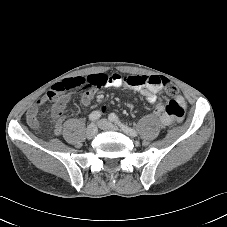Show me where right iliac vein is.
<instances>
[{
	"label": "right iliac vein",
	"instance_id": "1",
	"mask_svg": "<svg viewBox=\"0 0 227 227\" xmlns=\"http://www.w3.org/2000/svg\"><path fill=\"white\" fill-rule=\"evenodd\" d=\"M98 133V129L95 124H90L86 129V136L88 139H93Z\"/></svg>",
	"mask_w": 227,
	"mask_h": 227
}]
</instances>
